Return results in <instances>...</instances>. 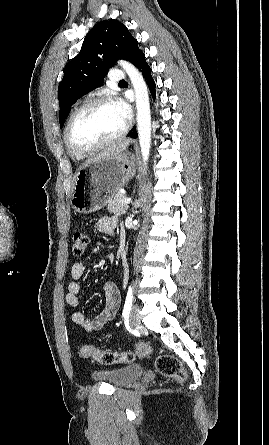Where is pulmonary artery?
<instances>
[{
    "label": "pulmonary artery",
    "mask_w": 269,
    "mask_h": 445,
    "mask_svg": "<svg viewBox=\"0 0 269 445\" xmlns=\"http://www.w3.org/2000/svg\"><path fill=\"white\" fill-rule=\"evenodd\" d=\"M109 79L112 82H120L121 80L124 79V74L122 71L120 70H112L109 73Z\"/></svg>",
    "instance_id": "obj_1"
}]
</instances>
